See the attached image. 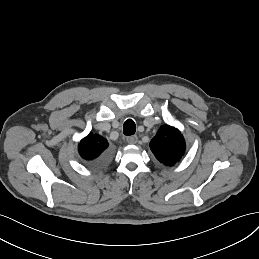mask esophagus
<instances>
[{
  "label": "esophagus",
  "mask_w": 259,
  "mask_h": 259,
  "mask_svg": "<svg viewBox=\"0 0 259 259\" xmlns=\"http://www.w3.org/2000/svg\"><path fill=\"white\" fill-rule=\"evenodd\" d=\"M126 140L129 144H135L137 142L138 138L136 135H132V136L127 137Z\"/></svg>",
  "instance_id": "obj_1"
}]
</instances>
